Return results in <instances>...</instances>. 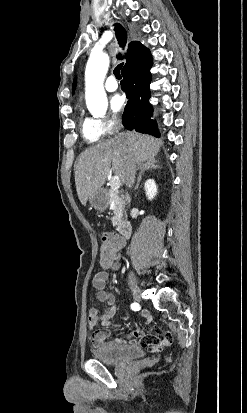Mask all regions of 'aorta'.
I'll return each mask as SVG.
<instances>
[{
  "label": "aorta",
  "instance_id": "762f6f07",
  "mask_svg": "<svg viewBox=\"0 0 247 413\" xmlns=\"http://www.w3.org/2000/svg\"><path fill=\"white\" fill-rule=\"evenodd\" d=\"M109 67V57L105 53H92L85 70V99L94 117L105 115L108 107L103 82Z\"/></svg>",
  "mask_w": 247,
  "mask_h": 413
}]
</instances>
